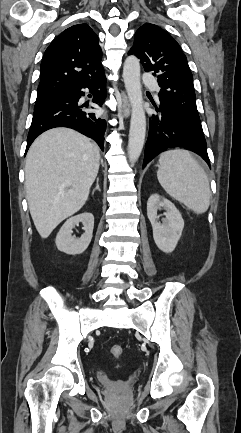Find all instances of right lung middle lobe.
Here are the masks:
<instances>
[{"label":"right lung middle lobe","mask_w":241,"mask_h":433,"mask_svg":"<svg viewBox=\"0 0 241 433\" xmlns=\"http://www.w3.org/2000/svg\"><path fill=\"white\" fill-rule=\"evenodd\" d=\"M56 96H57V94H46V95L37 96L34 110H36V109L44 106L49 101H51L52 99H54Z\"/></svg>","instance_id":"1"}]
</instances>
